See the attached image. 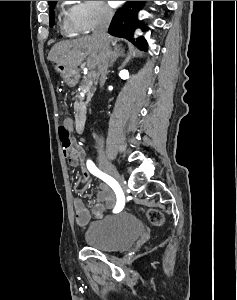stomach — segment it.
I'll return each mask as SVG.
<instances>
[{
    "label": "stomach",
    "mask_w": 237,
    "mask_h": 300,
    "mask_svg": "<svg viewBox=\"0 0 237 300\" xmlns=\"http://www.w3.org/2000/svg\"><path fill=\"white\" fill-rule=\"evenodd\" d=\"M54 69L56 73H59L60 77L66 81L67 85H70V87H74L76 85L79 75L76 71V69H68V67H65V65H54Z\"/></svg>",
    "instance_id": "0dacf381"
}]
</instances>
